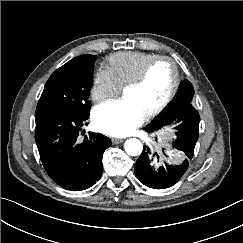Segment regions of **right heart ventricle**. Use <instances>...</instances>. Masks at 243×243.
Segmentation results:
<instances>
[{"label":"right heart ventricle","instance_id":"1","mask_svg":"<svg viewBox=\"0 0 243 243\" xmlns=\"http://www.w3.org/2000/svg\"><path fill=\"white\" fill-rule=\"evenodd\" d=\"M157 56L145 52H118L107 57L104 66L122 88L136 78L143 67Z\"/></svg>","mask_w":243,"mask_h":243}]
</instances>
